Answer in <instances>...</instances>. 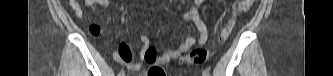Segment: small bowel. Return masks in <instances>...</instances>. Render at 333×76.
<instances>
[{"mask_svg":"<svg viewBox=\"0 0 333 76\" xmlns=\"http://www.w3.org/2000/svg\"><path fill=\"white\" fill-rule=\"evenodd\" d=\"M203 3V0H195L191 8L182 13V17L186 23H193L196 27L198 36H188L185 40L176 48H167L164 51L158 53L156 47L151 43L150 39L142 35L140 41L142 44L139 61L132 62V53L127 42H120L117 50L114 52L115 60L120 64H125L131 71H139L143 63H147L146 76H168L166 68H162L163 65H168L172 61L181 57L195 44L204 45L210 35V31L204 21L199 15V7ZM69 7L74 11L75 15L79 18H83V9L81 3L78 0H69ZM85 7H92L98 5L102 8H110L111 2L109 0H84ZM90 32L93 39H102L103 33L100 32V26L98 23H92L90 25Z\"/></svg>","mask_w":333,"mask_h":76,"instance_id":"c3829d8e","label":"small bowel"}]
</instances>
